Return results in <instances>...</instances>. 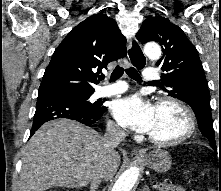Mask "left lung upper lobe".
I'll return each mask as SVG.
<instances>
[{
	"mask_svg": "<svg viewBox=\"0 0 221 191\" xmlns=\"http://www.w3.org/2000/svg\"><path fill=\"white\" fill-rule=\"evenodd\" d=\"M136 37L143 44L154 41L161 45L163 56L156 63L164 71L161 88L190 105L202 135L216 149L208 83L195 46L178 26L162 16L144 20Z\"/></svg>",
	"mask_w": 221,
	"mask_h": 191,
	"instance_id": "left-lung-upper-lobe-1",
	"label": "left lung upper lobe"
}]
</instances>
